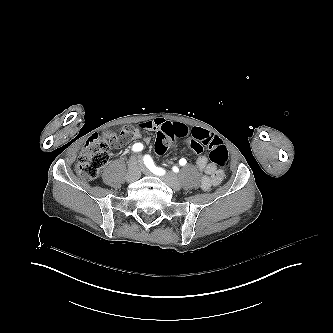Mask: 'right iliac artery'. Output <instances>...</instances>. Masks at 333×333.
<instances>
[{
    "instance_id": "obj_1",
    "label": "right iliac artery",
    "mask_w": 333,
    "mask_h": 333,
    "mask_svg": "<svg viewBox=\"0 0 333 333\" xmlns=\"http://www.w3.org/2000/svg\"><path fill=\"white\" fill-rule=\"evenodd\" d=\"M143 149V145L141 143H136L133 145V151H141Z\"/></svg>"
}]
</instances>
